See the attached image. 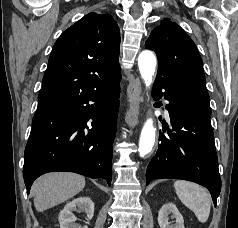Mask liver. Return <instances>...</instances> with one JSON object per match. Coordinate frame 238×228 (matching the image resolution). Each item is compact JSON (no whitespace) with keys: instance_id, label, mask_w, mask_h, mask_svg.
Here are the masks:
<instances>
[{"instance_id":"1","label":"liver","mask_w":238,"mask_h":228,"mask_svg":"<svg viewBox=\"0 0 238 228\" xmlns=\"http://www.w3.org/2000/svg\"><path fill=\"white\" fill-rule=\"evenodd\" d=\"M85 186V178L74 173H49L32 185L34 206L43 212L78 194Z\"/></svg>"}]
</instances>
